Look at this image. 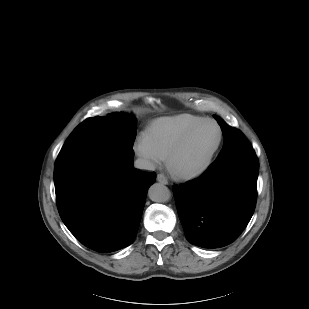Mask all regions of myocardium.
<instances>
[{
    "instance_id": "myocardium-1",
    "label": "myocardium",
    "mask_w": 309,
    "mask_h": 309,
    "mask_svg": "<svg viewBox=\"0 0 309 309\" xmlns=\"http://www.w3.org/2000/svg\"><path fill=\"white\" fill-rule=\"evenodd\" d=\"M206 123H213L218 128V139L211 150L209 156L207 159L197 168L194 169H183L176 165V158L178 154L180 153L181 149L184 147L186 142L190 139V137L204 124ZM223 129L221 125L212 118H205L196 124H194L192 127H190L182 136L181 138L175 143L171 151L169 152L167 158H166V165L169 171L176 177L181 179H194L202 174H204L212 165L213 160L222 144L223 141Z\"/></svg>"
}]
</instances>
